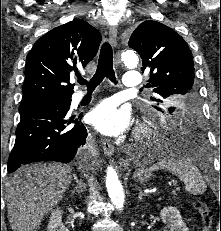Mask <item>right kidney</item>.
Wrapping results in <instances>:
<instances>
[{"label":"right kidney","mask_w":221,"mask_h":231,"mask_svg":"<svg viewBox=\"0 0 221 231\" xmlns=\"http://www.w3.org/2000/svg\"><path fill=\"white\" fill-rule=\"evenodd\" d=\"M48 231H69L62 223V210H53L47 227Z\"/></svg>","instance_id":"right-kidney-1"}]
</instances>
